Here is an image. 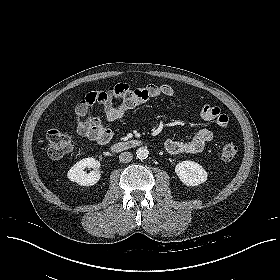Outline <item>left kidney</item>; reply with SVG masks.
Instances as JSON below:
<instances>
[{
	"label": "left kidney",
	"instance_id": "1",
	"mask_svg": "<svg viewBox=\"0 0 280 280\" xmlns=\"http://www.w3.org/2000/svg\"><path fill=\"white\" fill-rule=\"evenodd\" d=\"M181 182L187 186H198L207 180V172L198 163L190 160L182 161L175 167Z\"/></svg>",
	"mask_w": 280,
	"mask_h": 280
}]
</instances>
